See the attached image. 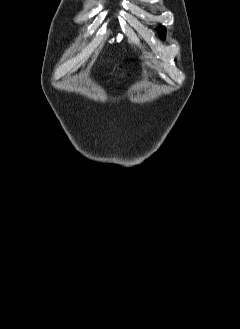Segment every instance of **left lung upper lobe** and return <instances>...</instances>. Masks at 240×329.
<instances>
[{
    "label": "left lung upper lobe",
    "instance_id": "obj_1",
    "mask_svg": "<svg viewBox=\"0 0 240 329\" xmlns=\"http://www.w3.org/2000/svg\"><path fill=\"white\" fill-rule=\"evenodd\" d=\"M157 30H158L159 36L162 39H164L165 38L166 28L164 26H160Z\"/></svg>",
    "mask_w": 240,
    "mask_h": 329
}]
</instances>
